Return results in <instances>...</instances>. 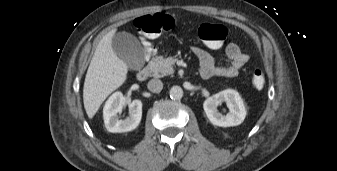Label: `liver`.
<instances>
[{
	"label": "liver",
	"mask_w": 337,
	"mask_h": 171,
	"mask_svg": "<svg viewBox=\"0 0 337 171\" xmlns=\"http://www.w3.org/2000/svg\"><path fill=\"white\" fill-rule=\"evenodd\" d=\"M116 29L108 32L96 47L83 87L84 108L91 119L104 100L126 80L128 66L114 52L112 39Z\"/></svg>",
	"instance_id": "6515ba94"
}]
</instances>
